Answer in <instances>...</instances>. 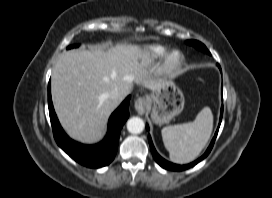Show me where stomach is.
Returning a JSON list of instances; mask_svg holds the SVG:
<instances>
[{
	"label": "stomach",
	"mask_w": 272,
	"mask_h": 198,
	"mask_svg": "<svg viewBox=\"0 0 272 198\" xmlns=\"http://www.w3.org/2000/svg\"><path fill=\"white\" fill-rule=\"evenodd\" d=\"M154 123H169L180 114L185 105L182 91L172 81H165L147 97Z\"/></svg>",
	"instance_id": "1"
}]
</instances>
